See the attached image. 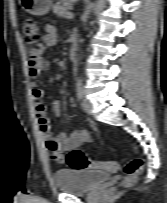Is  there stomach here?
<instances>
[{
  "mask_svg": "<svg viewBox=\"0 0 167 203\" xmlns=\"http://www.w3.org/2000/svg\"><path fill=\"white\" fill-rule=\"evenodd\" d=\"M22 8L33 15H45L49 12L52 2L51 0H20Z\"/></svg>",
  "mask_w": 167,
  "mask_h": 203,
  "instance_id": "0dacf381",
  "label": "stomach"
}]
</instances>
